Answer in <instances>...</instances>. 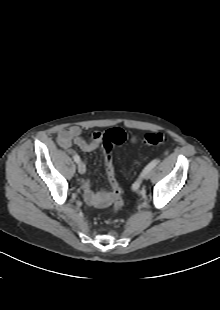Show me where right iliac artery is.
Returning a JSON list of instances; mask_svg holds the SVG:
<instances>
[{"instance_id":"right-iliac-artery-1","label":"right iliac artery","mask_w":220,"mask_h":310,"mask_svg":"<svg viewBox=\"0 0 220 310\" xmlns=\"http://www.w3.org/2000/svg\"><path fill=\"white\" fill-rule=\"evenodd\" d=\"M73 159L76 163L80 162V157L78 155L73 156Z\"/></svg>"}]
</instances>
